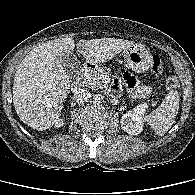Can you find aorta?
Returning a JSON list of instances; mask_svg holds the SVG:
<instances>
[{"instance_id": "1", "label": "aorta", "mask_w": 195, "mask_h": 195, "mask_svg": "<svg viewBox=\"0 0 195 195\" xmlns=\"http://www.w3.org/2000/svg\"><path fill=\"white\" fill-rule=\"evenodd\" d=\"M102 100H103V96H102L101 94H96V95H94V97H93L94 103L99 104V103L102 102Z\"/></svg>"}]
</instances>
